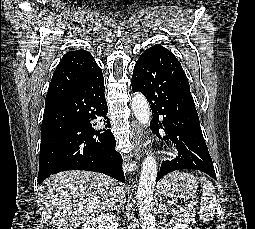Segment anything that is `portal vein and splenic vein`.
Listing matches in <instances>:
<instances>
[{
  "label": "portal vein and splenic vein",
  "mask_w": 255,
  "mask_h": 229,
  "mask_svg": "<svg viewBox=\"0 0 255 229\" xmlns=\"http://www.w3.org/2000/svg\"><path fill=\"white\" fill-rule=\"evenodd\" d=\"M193 205H195V202H194V201H193V202H190V203L188 204L187 208L190 209V208L193 207ZM173 214H176V212L173 211Z\"/></svg>",
  "instance_id": "portal-vein-and-splenic-vein-1"
}]
</instances>
